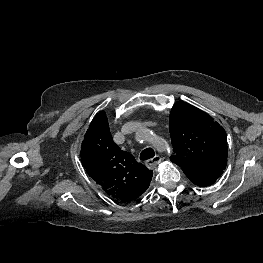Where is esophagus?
Returning <instances> with one entry per match:
<instances>
[{
  "instance_id": "esophagus-1",
  "label": "esophagus",
  "mask_w": 263,
  "mask_h": 263,
  "mask_svg": "<svg viewBox=\"0 0 263 263\" xmlns=\"http://www.w3.org/2000/svg\"><path fill=\"white\" fill-rule=\"evenodd\" d=\"M162 158L159 155L154 156L153 158L146 161V166L150 169L155 168L160 162Z\"/></svg>"
}]
</instances>
